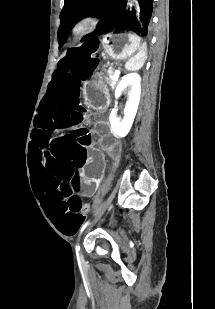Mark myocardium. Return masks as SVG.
Here are the masks:
<instances>
[{
  "instance_id": "obj_1",
  "label": "myocardium",
  "mask_w": 215,
  "mask_h": 309,
  "mask_svg": "<svg viewBox=\"0 0 215 309\" xmlns=\"http://www.w3.org/2000/svg\"><path fill=\"white\" fill-rule=\"evenodd\" d=\"M87 24L85 22L79 23L73 29V36L76 39H81L86 32Z\"/></svg>"
}]
</instances>
